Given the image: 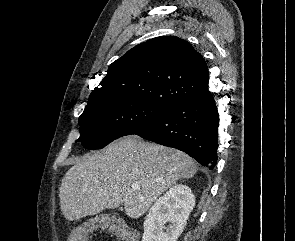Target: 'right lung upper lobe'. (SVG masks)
Returning a JSON list of instances; mask_svg holds the SVG:
<instances>
[{"label":"right lung upper lobe","instance_id":"right-lung-upper-lobe-1","mask_svg":"<svg viewBox=\"0 0 295 241\" xmlns=\"http://www.w3.org/2000/svg\"><path fill=\"white\" fill-rule=\"evenodd\" d=\"M204 58L175 36L150 39L113 62L91 95L113 92L146 105L166 108L208 91Z\"/></svg>","mask_w":295,"mask_h":241}]
</instances>
